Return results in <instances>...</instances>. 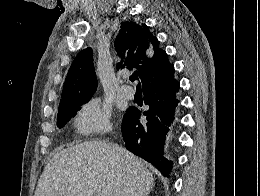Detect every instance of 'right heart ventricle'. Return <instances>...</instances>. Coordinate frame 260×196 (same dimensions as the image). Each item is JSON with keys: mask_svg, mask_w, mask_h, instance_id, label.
Here are the masks:
<instances>
[{"mask_svg": "<svg viewBox=\"0 0 260 196\" xmlns=\"http://www.w3.org/2000/svg\"><path fill=\"white\" fill-rule=\"evenodd\" d=\"M64 192H85V190H64Z\"/></svg>", "mask_w": 260, "mask_h": 196, "instance_id": "obj_1", "label": "right heart ventricle"}]
</instances>
